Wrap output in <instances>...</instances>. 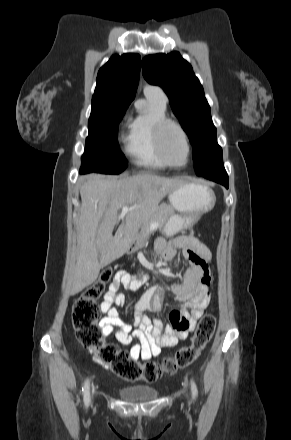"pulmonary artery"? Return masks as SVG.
I'll use <instances>...</instances> for the list:
<instances>
[{
	"instance_id": "1",
	"label": "pulmonary artery",
	"mask_w": 291,
	"mask_h": 440,
	"mask_svg": "<svg viewBox=\"0 0 291 440\" xmlns=\"http://www.w3.org/2000/svg\"><path fill=\"white\" fill-rule=\"evenodd\" d=\"M144 93H145V95H152L164 103L167 102L166 93L163 91L162 88H160L158 86H152V85L146 86L144 89Z\"/></svg>"
}]
</instances>
